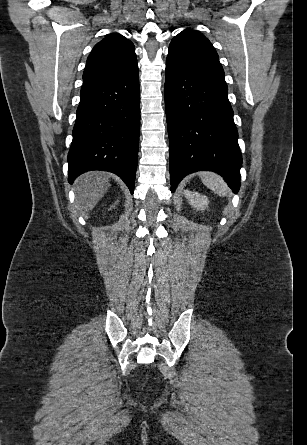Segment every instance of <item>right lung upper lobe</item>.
Wrapping results in <instances>:
<instances>
[{
	"label": "right lung upper lobe",
	"instance_id": "right-lung-upper-lobe-1",
	"mask_svg": "<svg viewBox=\"0 0 307 445\" xmlns=\"http://www.w3.org/2000/svg\"><path fill=\"white\" fill-rule=\"evenodd\" d=\"M137 65L133 43L112 33L97 43L90 53L83 73V84L121 75Z\"/></svg>",
	"mask_w": 307,
	"mask_h": 445
}]
</instances>
